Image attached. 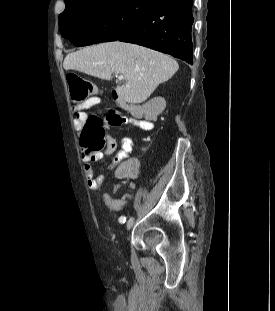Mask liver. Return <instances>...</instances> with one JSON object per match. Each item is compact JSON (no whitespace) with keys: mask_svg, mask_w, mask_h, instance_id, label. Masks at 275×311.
I'll use <instances>...</instances> for the list:
<instances>
[{"mask_svg":"<svg viewBox=\"0 0 275 311\" xmlns=\"http://www.w3.org/2000/svg\"><path fill=\"white\" fill-rule=\"evenodd\" d=\"M63 67L104 80H110L112 74L123 75L125 84L116 88L119 100L138 104L148 99L160 83L169 80L179 65L163 53L114 41L68 54Z\"/></svg>","mask_w":275,"mask_h":311,"instance_id":"6515ba94","label":"liver"}]
</instances>
